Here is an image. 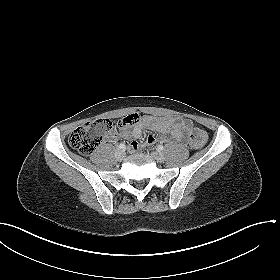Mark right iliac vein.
I'll return each instance as SVG.
<instances>
[{
    "label": "right iliac vein",
    "instance_id": "obj_1",
    "mask_svg": "<svg viewBox=\"0 0 280 280\" xmlns=\"http://www.w3.org/2000/svg\"><path fill=\"white\" fill-rule=\"evenodd\" d=\"M115 157L118 161H121L125 157V152L123 150H117L115 153Z\"/></svg>",
    "mask_w": 280,
    "mask_h": 280
}]
</instances>
